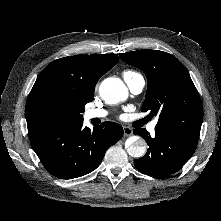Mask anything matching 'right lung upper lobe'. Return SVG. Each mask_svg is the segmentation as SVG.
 Masks as SVG:
<instances>
[{
	"instance_id": "cb5924a9",
	"label": "right lung upper lobe",
	"mask_w": 221,
	"mask_h": 221,
	"mask_svg": "<svg viewBox=\"0 0 221 221\" xmlns=\"http://www.w3.org/2000/svg\"><path fill=\"white\" fill-rule=\"evenodd\" d=\"M119 58L115 54L76 55L51 62L36 79L28 95L25 117L29 137L51 127L48 108L62 102L74 109H84L93 100L95 85Z\"/></svg>"
}]
</instances>
